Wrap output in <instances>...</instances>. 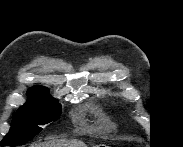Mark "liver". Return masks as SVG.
Segmentation results:
<instances>
[{"label":"liver","instance_id":"liver-1","mask_svg":"<svg viewBox=\"0 0 183 147\" xmlns=\"http://www.w3.org/2000/svg\"><path fill=\"white\" fill-rule=\"evenodd\" d=\"M35 147H87L78 140H54L48 143H41Z\"/></svg>","mask_w":183,"mask_h":147}]
</instances>
